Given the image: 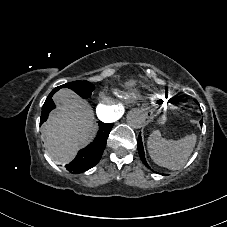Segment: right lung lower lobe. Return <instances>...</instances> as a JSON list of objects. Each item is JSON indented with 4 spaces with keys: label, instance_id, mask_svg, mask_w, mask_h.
<instances>
[{
    "label": "right lung lower lobe",
    "instance_id": "98d812e1",
    "mask_svg": "<svg viewBox=\"0 0 227 227\" xmlns=\"http://www.w3.org/2000/svg\"><path fill=\"white\" fill-rule=\"evenodd\" d=\"M54 108L55 104L53 101H51L48 109L41 113L40 124L46 121L49 112ZM98 124L99 131L96 138L87 147L81 149L75 159L66 165V169L68 171L72 173L84 172L95 166L101 159L113 124H106L101 121H99Z\"/></svg>",
    "mask_w": 227,
    "mask_h": 227
}]
</instances>
